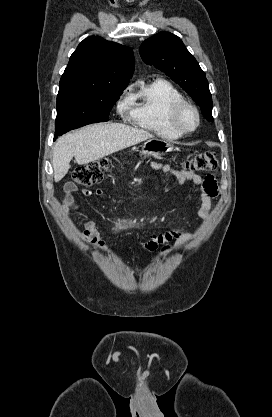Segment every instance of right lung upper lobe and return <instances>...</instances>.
<instances>
[{
	"label": "right lung upper lobe",
	"instance_id": "cb5924a9",
	"mask_svg": "<svg viewBox=\"0 0 272 417\" xmlns=\"http://www.w3.org/2000/svg\"><path fill=\"white\" fill-rule=\"evenodd\" d=\"M134 72L131 48L99 36L83 40L71 55L57 98L126 88Z\"/></svg>",
	"mask_w": 272,
	"mask_h": 417
}]
</instances>
